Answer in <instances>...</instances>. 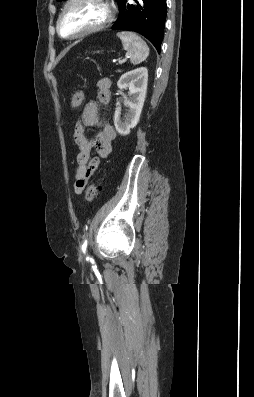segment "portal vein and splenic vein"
Returning a JSON list of instances; mask_svg holds the SVG:
<instances>
[{
  "mask_svg": "<svg viewBox=\"0 0 254 397\" xmlns=\"http://www.w3.org/2000/svg\"><path fill=\"white\" fill-rule=\"evenodd\" d=\"M122 63H123V61H122V60H120V61H119V64H122Z\"/></svg>",
  "mask_w": 254,
  "mask_h": 397,
  "instance_id": "obj_1",
  "label": "portal vein and splenic vein"
}]
</instances>
